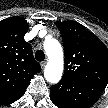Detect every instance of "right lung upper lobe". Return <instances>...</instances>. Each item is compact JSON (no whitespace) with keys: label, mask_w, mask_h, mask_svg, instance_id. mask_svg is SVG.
I'll return each mask as SVG.
<instances>
[{"label":"right lung upper lobe","mask_w":108,"mask_h":108,"mask_svg":"<svg viewBox=\"0 0 108 108\" xmlns=\"http://www.w3.org/2000/svg\"><path fill=\"white\" fill-rule=\"evenodd\" d=\"M28 23L20 17L0 21V104L8 105L22 97L41 67L24 40Z\"/></svg>","instance_id":"cb5924a9"}]
</instances>
